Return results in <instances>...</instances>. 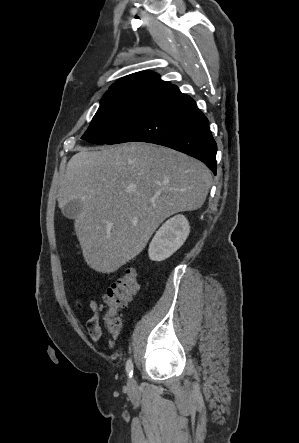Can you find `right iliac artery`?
Returning a JSON list of instances; mask_svg holds the SVG:
<instances>
[{
  "instance_id": "1",
  "label": "right iliac artery",
  "mask_w": 299,
  "mask_h": 443,
  "mask_svg": "<svg viewBox=\"0 0 299 443\" xmlns=\"http://www.w3.org/2000/svg\"><path fill=\"white\" fill-rule=\"evenodd\" d=\"M126 372L127 375L131 378L133 375V362L132 359H128L127 363H126Z\"/></svg>"
}]
</instances>
